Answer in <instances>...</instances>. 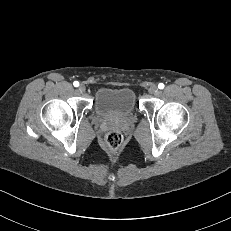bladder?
<instances>
[{"instance_id":"31cf9c89","label":"bladder","mask_w":231,"mask_h":231,"mask_svg":"<svg viewBox=\"0 0 231 231\" xmlns=\"http://www.w3.org/2000/svg\"><path fill=\"white\" fill-rule=\"evenodd\" d=\"M94 107L105 118H129L136 110L135 93L129 88H102L95 95Z\"/></svg>"}]
</instances>
